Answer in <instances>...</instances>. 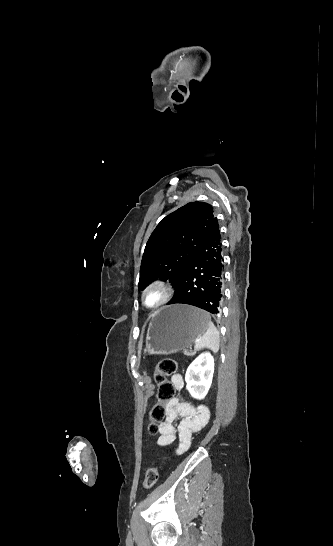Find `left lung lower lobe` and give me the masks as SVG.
Segmentation results:
<instances>
[{"label":"left lung lower lobe","mask_w":333,"mask_h":546,"mask_svg":"<svg viewBox=\"0 0 333 546\" xmlns=\"http://www.w3.org/2000/svg\"><path fill=\"white\" fill-rule=\"evenodd\" d=\"M222 262L221 235L216 219L202 238L193 262L182 276L168 304H189L215 317L220 316L224 279Z\"/></svg>","instance_id":"0a47b994"}]
</instances>
